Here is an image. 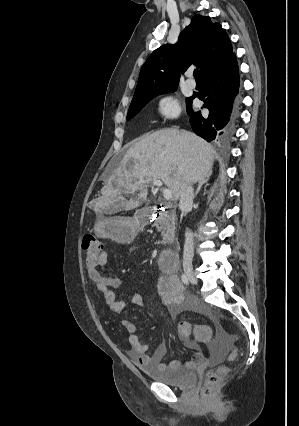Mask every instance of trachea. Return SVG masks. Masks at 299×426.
<instances>
[{
  "mask_svg": "<svg viewBox=\"0 0 299 426\" xmlns=\"http://www.w3.org/2000/svg\"><path fill=\"white\" fill-rule=\"evenodd\" d=\"M199 73H200V72H199V70H197V69H196V70L194 71V73H193V75H194V77H195V79H196V80H200Z\"/></svg>",
  "mask_w": 299,
  "mask_h": 426,
  "instance_id": "1",
  "label": "trachea"
}]
</instances>
